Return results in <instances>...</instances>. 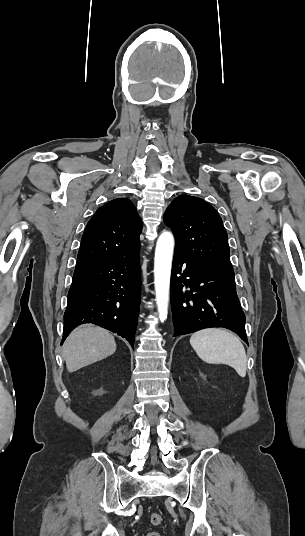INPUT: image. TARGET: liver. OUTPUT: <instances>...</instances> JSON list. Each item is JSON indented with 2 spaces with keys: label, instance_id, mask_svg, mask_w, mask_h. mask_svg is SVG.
<instances>
[{
  "label": "liver",
  "instance_id": "liver-1",
  "mask_svg": "<svg viewBox=\"0 0 305 536\" xmlns=\"http://www.w3.org/2000/svg\"><path fill=\"white\" fill-rule=\"evenodd\" d=\"M116 352V342L108 330L98 326H78L63 346V358L68 372L104 360Z\"/></svg>",
  "mask_w": 305,
  "mask_h": 536
}]
</instances>
